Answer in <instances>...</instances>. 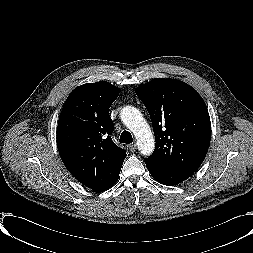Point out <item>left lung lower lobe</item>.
I'll list each match as a JSON object with an SVG mask.
<instances>
[{
    "label": "left lung lower lobe",
    "instance_id": "left-lung-lower-lobe-1",
    "mask_svg": "<svg viewBox=\"0 0 253 253\" xmlns=\"http://www.w3.org/2000/svg\"><path fill=\"white\" fill-rule=\"evenodd\" d=\"M147 168L154 179H156L161 184L168 186L177 185L178 183L186 180L193 174L188 172L163 171L150 167Z\"/></svg>",
    "mask_w": 253,
    "mask_h": 253
}]
</instances>
